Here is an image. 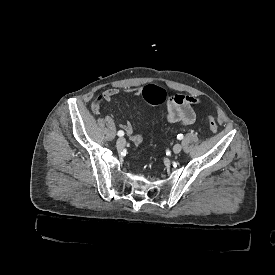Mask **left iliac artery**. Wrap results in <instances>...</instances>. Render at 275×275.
<instances>
[{
    "label": "left iliac artery",
    "mask_w": 275,
    "mask_h": 275,
    "mask_svg": "<svg viewBox=\"0 0 275 275\" xmlns=\"http://www.w3.org/2000/svg\"><path fill=\"white\" fill-rule=\"evenodd\" d=\"M183 137H184L183 134H178L177 135V139H179V140L183 139Z\"/></svg>",
    "instance_id": "44dca946"
}]
</instances>
